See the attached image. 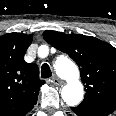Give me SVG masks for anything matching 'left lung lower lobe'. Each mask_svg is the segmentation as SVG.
Returning a JSON list of instances; mask_svg holds the SVG:
<instances>
[{
  "mask_svg": "<svg viewBox=\"0 0 116 116\" xmlns=\"http://www.w3.org/2000/svg\"><path fill=\"white\" fill-rule=\"evenodd\" d=\"M78 116H107L115 109L98 105H78L72 108Z\"/></svg>",
  "mask_w": 116,
  "mask_h": 116,
  "instance_id": "left-lung-lower-lobe-1",
  "label": "left lung lower lobe"
}]
</instances>
